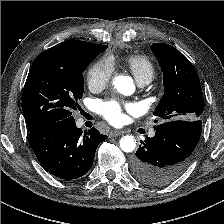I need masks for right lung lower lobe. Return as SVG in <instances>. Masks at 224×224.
<instances>
[{
  "mask_svg": "<svg viewBox=\"0 0 224 224\" xmlns=\"http://www.w3.org/2000/svg\"><path fill=\"white\" fill-rule=\"evenodd\" d=\"M107 139L95 128L82 133L75 120L47 122L29 129V141L43 168L52 175L72 180L92 167L98 145Z\"/></svg>",
  "mask_w": 224,
  "mask_h": 224,
  "instance_id": "1",
  "label": "right lung lower lobe"
}]
</instances>
